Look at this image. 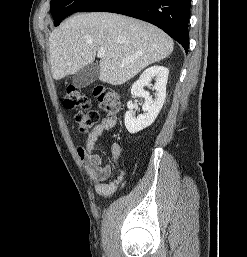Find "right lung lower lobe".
<instances>
[{
  "instance_id": "obj_1",
  "label": "right lung lower lobe",
  "mask_w": 247,
  "mask_h": 257,
  "mask_svg": "<svg viewBox=\"0 0 247 257\" xmlns=\"http://www.w3.org/2000/svg\"><path fill=\"white\" fill-rule=\"evenodd\" d=\"M79 12H113L147 21L188 52L190 0H91Z\"/></svg>"
}]
</instances>
